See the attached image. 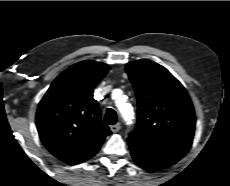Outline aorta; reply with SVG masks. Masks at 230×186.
Returning a JSON list of instances; mask_svg holds the SVG:
<instances>
[{
	"label": "aorta",
	"mask_w": 230,
	"mask_h": 186,
	"mask_svg": "<svg viewBox=\"0 0 230 186\" xmlns=\"http://www.w3.org/2000/svg\"><path fill=\"white\" fill-rule=\"evenodd\" d=\"M117 107L123 117V119L129 123L131 119L133 118V109L130 104L128 103H118Z\"/></svg>",
	"instance_id": "1"
}]
</instances>
